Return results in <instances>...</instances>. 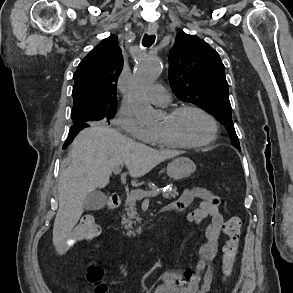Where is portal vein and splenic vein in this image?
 <instances>
[{
    "label": "portal vein and splenic vein",
    "instance_id": "obj_1",
    "mask_svg": "<svg viewBox=\"0 0 293 293\" xmlns=\"http://www.w3.org/2000/svg\"><path fill=\"white\" fill-rule=\"evenodd\" d=\"M121 171L119 167L114 168L113 172L114 174H118ZM160 194L159 190H153L148 192H137L135 193V196L138 200H142L143 198H149V197H156Z\"/></svg>",
    "mask_w": 293,
    "mask_h": 293
}]
</instances>
